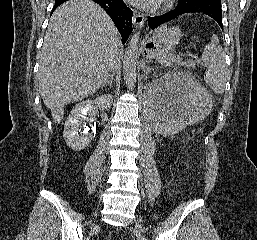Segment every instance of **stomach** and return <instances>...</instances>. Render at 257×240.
<instances>
[{"mask_svg": "<svg viewBox=\"0 0 257 240\" xmlns=\"http://www.w3.org/2000/svg\"><path fill=\"white\" fill-rule=\"evenodd\" d=\"M182 33L179 28L160 27L144 44V53L149 58L165 56L179 42Z\"/></svg>", "mask_w": 257, "mask_h": 240, "instance_id": "0dacf381", "label": "stomach"}]
</instances>
